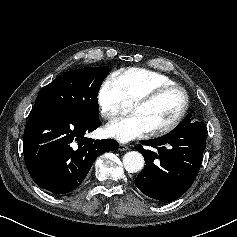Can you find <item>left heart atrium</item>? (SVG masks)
Segmentation results:
<instances>
[{"label":"left heart atrium","instance_id":"left-heart-atrium-1","mask_svg":"<svg viewBox=\"0 0 237 237\" xmlns=\"http://www.w3.org/2000/svg\"><path fill=\"white\" fill-rule=\"evenodd\" d=\"M104 131L108 137L120 142L141 138L150 132L143 119L136 114L122 117L109 123Z\"/></svg>","mask_w":237,"mask_h":237}]
</instances>
